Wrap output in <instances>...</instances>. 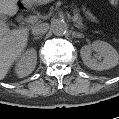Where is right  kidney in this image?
Wrapping results in <instances>:
<instances>
[{"label": "right kidney", "instance_id": "1", "mask_svg": "<svg viewBox=\"0 0 119 119\" xmlns=\"http://www.w3.org/2000/svg\"><path fill=\"white\" fill-rule=\"evenodd\" d=\"M37 62V53L34 48L28 49L23 53L16 64L15 72L19 77H25L31 74L36 66Z\"/></svg>", "mask_w": 119, "mask_h": 119}]
</instances>
